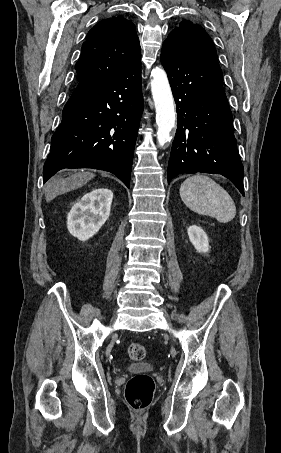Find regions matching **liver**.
Returning a JSON list of instances; mask_svg holds the SVG:
<instances>
[{"mask_svg": "<svg viewBox=\"0 0 281 453\" xmlns=\"http://www.w3.org/2000/svg\"><path fill=\"white\" fill-rule=\"evenodd\" d=\"M94 176V172H75V174H71L67 178H51L46 184L45 198L49 202V200H53L58 194H65V192L80 188V186L89 182Z\"/></svg>", "mask_w": 281, "mask_h": 453, "instance_id": "obj_1", "label": "liver"}]
</instances>
